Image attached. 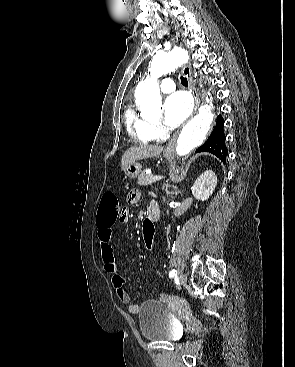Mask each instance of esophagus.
I'll list each match as a JSON object with an SVG mask.
<instances>
[{"label":"esophagus","instance_id":"34e87169","mask_svg":"<svg viewBox=\"0 0 295 367\" xmlns=\"http://www.w3.org/2000/svg\"><path fill=\"white\" fill-rule=\"evenodd\" d=\"M181 71H182L183 75H185V77L188 80L189 89H190V91L193 95V98H194V109H193V113H192V116H193L197 111L199 101H198V94H197V91L195 89L194 82H193V79H192V71H191V68L188 65L182 66ZM177 136H178V132H176L174 134L172 139L167 144V146L165 148L166 152L173 151Z\"/></svg>","mask_w":295,"mask_h":367}]
</instances>
